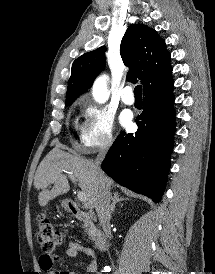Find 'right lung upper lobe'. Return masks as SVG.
Segmentation results:
<instances>
[{
	"label": "right lung upper lobe",
	"mask_w": 215,
	"mask_h": 274,
	"mask_svg": "<svg viewBox=\"0 0 215 274\" xmlns=\"http://www.w3.org/2000/svg\"><path fill=\"white\" fill-rule=\"evenodd\" d=\"M105 46L77 58L71 69L66 104L90 88L105 65ZM120 54L129 67L127 80L139 79L143 93L161 89L173 83L170 53L156 31L144 24L130 25L122 38Z\"/></svg>",
	"instance_id": "1"
}]
</instances>
